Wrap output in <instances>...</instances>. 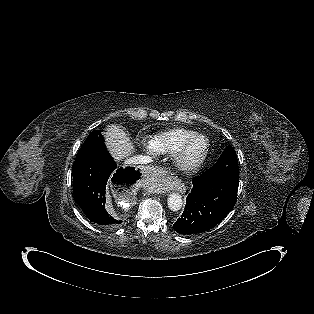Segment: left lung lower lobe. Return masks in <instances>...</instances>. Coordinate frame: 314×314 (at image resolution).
Here are the masks:
<instances>
[{
    "instance_id": "1",
    "label": "left lung lower lobe",
    "mask_w": 314,
    "mask_h": 314,
    "mask_svg": "<svg viewBox=\"0 0 314 314\" xmlns=\"http://www.w3.org/2000/svg\"><path fill=\"white\" fill-rule=\"evenodd\" d=\"M192 183L184 212L173 225L182 235L208 231L226 217L237 200L239 176L201 174Z\"/></svg>"
}]
</instances>
